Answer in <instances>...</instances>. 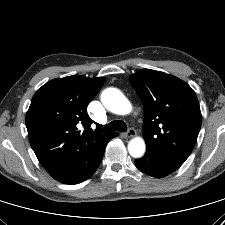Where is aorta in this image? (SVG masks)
Here are the masks:
<instances>
[{
  "instance_id": "aorta-1",
  "label": "aorta",
  "mask_w": 225,
  "mask_h": 225,
  "mask_svg": "<svg viewBox=\"0 0 225 225\" xmlns=\"http://www.w3.org/2000/svg\"><path fill=\"white\" fill-rule=\"evenodd\" d=\"M101 101L107 110L114 114L126 115L132 111L130 101L117 88H107L101 94ZM146 150L145 141L141 137H135L128 143L129 154L134 158H140Z\"/></svg>"
}]
</instances>
